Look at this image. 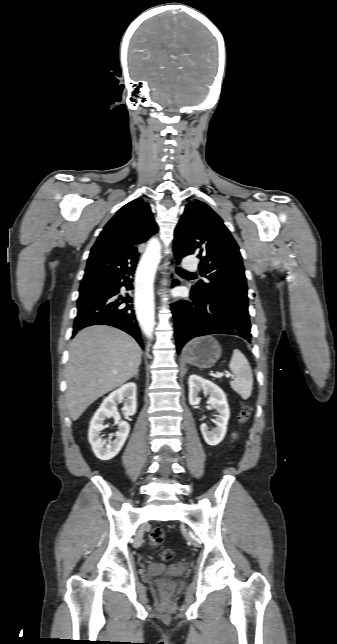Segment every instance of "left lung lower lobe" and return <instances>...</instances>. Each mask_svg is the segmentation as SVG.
<instances>
[{"mask_svg":"<svg viewBox=\"0 0 337 644\" xmlns=\"http://www.w3.org/2000/svg\"><path fill=\"white\" fill-rule=\"evenodd\" d=\"M191 299L193 302L183 300L172 306L178 352L192 338L214 333L237 335L251 341L250 321L232 308L217 300H202L192 292Z\"/></svg>","mask_w":337,"mask_h":644,"instance_id":"left-lung-lower-lobe-1","label":"left lung lower lobe"}]
</instances>
